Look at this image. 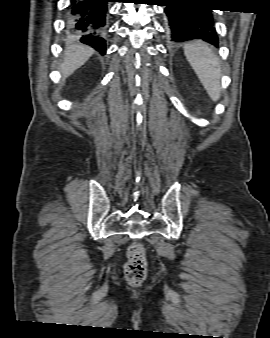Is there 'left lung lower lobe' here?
Returning <instances> with one entry per match:
<instances>
[{
  "instance_id": "1",
  "label": "left lung lower lobe",
  "mask_w": 270,
  "mask_h": 338,
  "mask_svg": "<svg viewBox=\"0 0 270 338\" xmlns=\"http://www.w3.org/2000/svg\"><path fill=\"white\" fill-rule=\"evenodd\" d=\"M164 3L166 31L171 42L201 39L218 45L211 8L199 7L201 4L196 0H164Z\"/></svg>"
}]
</instances>
